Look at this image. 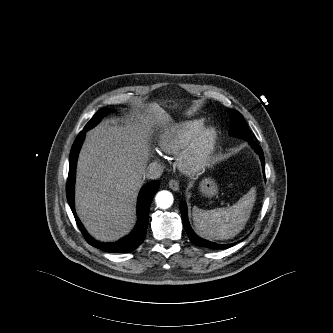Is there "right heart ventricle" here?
<instances>
[{"label":"right heart ventricle","mask_w":333,"mask_h":333,"mask_svg":"<svg viewBox=\"0 0 333 333\" xmlns=\"http://www.w3.org/2000/svg\"><path fill=\"white\" fill-rule=\"evenodd\" d=\"M204 126L203 118H193L166 128L158 137L159 149L167 154L181 153Z\"/></svg>","instance_id":"e07e8e85"}]
</instances>
